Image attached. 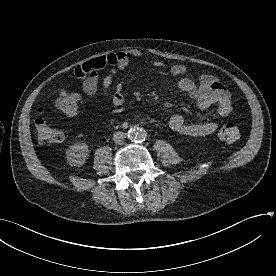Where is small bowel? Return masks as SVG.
Returning <instances> with one entry per match:
<instances>
[{
	"mask_svg": "<svg viewBox=\"0 0 276 276\" xmlns=\"http://www.w3.org/2000/svg\"><path fill=\"white\" fill-rule=\"evenodd\" d=\"M141 57L142 52L137 49L108 53L78 65L75 68L74 75L76 78L83 80L82 89L84 93L88 96H94L99 87L98 72L109 67L108 73L101 82L102 94L113 105L120 106L124 101L122 87L117 86L112 91L114 78L119 71L124 70L133 61ZM152 65L160 68L163 63L154 60ZM170 71L173 76L180 77L186 73L187 69L186 66L177 64L172 66ZM178 86L181 91L188 94L196 102L200 109L206 110L215 107L217 115L221 118L231 115L233 106L229 92L217 77L204 74L198 81L182 77L178 82ZM168 125L178 133L193 137L213 134L220 127V123L217 121L187 123L185 117L181 114L172 115L168 120Z\"/></svg>",
	"mask_w": 276,
	"mask_h": 276,
	"instance_id": "obj_1",
	"label": "small bowel"
}]
</instances>
